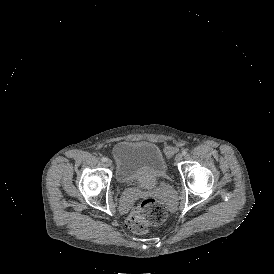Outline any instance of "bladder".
I'll return each mask as SVG.
<instances>
[{"mask_svg":"<svg viewBox=\"0 0 274 274\" xmlns=\"http://www.w3.org/2000/svg\"><path fill=\"white\" fill-rule=\"evenodd\" d=\"M116 178L121 183L140 179L156 182L167 175L168 166L160 148L150 141H122L113 148Z\"/></svg>","mask_w":274,"mask_h":274,"instance_id":"bladder-1","label":"bladder"}]
</instances>
